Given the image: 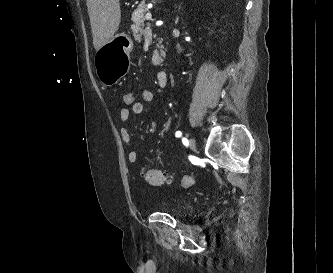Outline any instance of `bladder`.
<instances>
[{
	"label": "bladder",
	"mask_w": 333,
	"mask_h": 273,
	"mask_svg": "<svg viewBox=\"0 0 333 273\" xmlns=\"http://www.w3.org/2000/svg\"><path fill=\"white\" fill-rule=\"evenodd\" d=\"M176 215H177L178 217H184V214L181 213V212H180V213H177Z\"/></svg>",
	"instance_id": "obj_1"
}]
</instances>
